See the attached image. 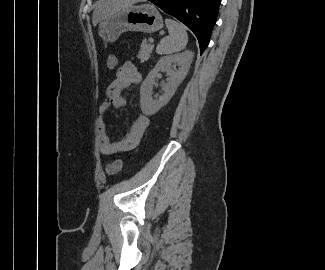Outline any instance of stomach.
Returning <instances> with one entry per match:
<instances>
[{
	"label": "stomach",
	"mask_w": 325,
	"mask_h": 270,
	"mask_svg": "<svg viewBox=\"0 0 325 270\" xmlns=\"http://www.w3.org/2000/svg\"><path fill=\"white\" fill-rule=\"evenodd\" d=\"M163 28V20L155 6L144 4L120 9L100 21L99 35L114 42L126 31L153 33Z\"/></svg>",
	"instance_id": "obj_1"
}]
</instances>
